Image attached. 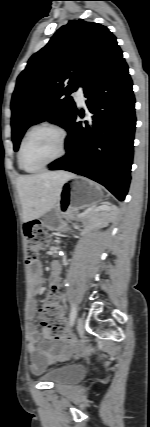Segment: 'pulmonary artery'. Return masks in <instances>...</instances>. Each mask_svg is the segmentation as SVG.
<instances>
[{
	"label": "pulmonary artery",
	"mask_w": 150,
	"mask_h": 427,
	"mask_svg": "<svg viewBox=\"0 0 150 427\" xmlns=\"http://www.w3.org/2000/svg\"><path fill=\"white\" fill-rule=\"evenodd\" d=\"M75 96H76V98L80 104H82L84 102L85 96H84V90H83L82 86L78 87V89L75 93Z\"/></svg>",
	"instance_id": "obj_1"
}]
</instances>
